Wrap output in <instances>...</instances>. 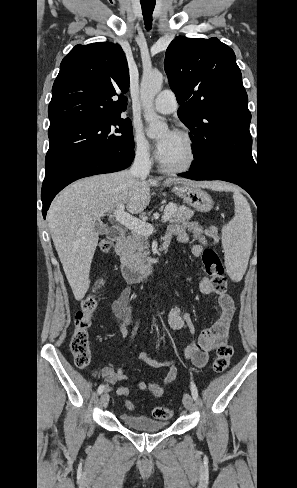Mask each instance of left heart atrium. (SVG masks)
Masks as SVG:
<instances>
[{
    "label": "left heart atrium",
    "instance_id": "left-heart-atrium-1",
    "mask_svg": "<svg viewBox=\"0 0 297 488\" xmlns=\"http://www.w3.org/2000/svg\"><path fill=\"white\" fill-rule=\"evenodd\" d=\"M176 136V133L173 131L166 132L158 141V154L160 155L171 142V140Z\"/></svg>",
    "mask_w": 297,
    "mask_h": 488
}]
</instances>
